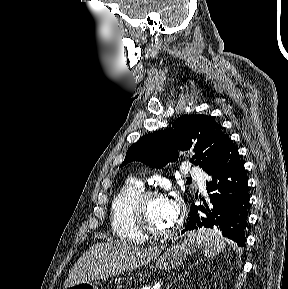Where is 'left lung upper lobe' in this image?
<instances>
[{
  "instance_id": "left-lung-upper-lobe-1",
  "label": "left lung upper lobe",
  "mask_w": 288,
  "mask_h": 289,
  "mask_svg": "<svg viewBox=\"0 0 288 289\" xmlns=\"http://www.w3.org/2000/svg\"><path fill=\"white\" fill-rule=\"evenodd\" d=\"M228 135L219 124L207 115H183L174 121L172 128L146 134L130 146L121 166L131 161H141L146 165L163 167L177 158L176 148L189 149L194 146L192 164L204 171L221 154Z\"/></svg>"
}]
</instances>
